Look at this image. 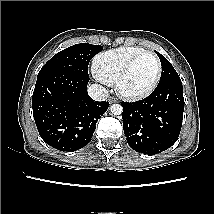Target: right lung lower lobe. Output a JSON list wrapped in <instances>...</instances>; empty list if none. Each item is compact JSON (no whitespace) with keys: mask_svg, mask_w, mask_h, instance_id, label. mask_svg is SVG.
I'll list each match as a JSON object with an SVG mask.
<instances>
[{"mask_svg":"<svg viewBox=\"0 0 214 214\" xmlns=\"http://www.w3.org/2000/svg\"><path fill=\"white\" fill-rule=\"evenodd\" d=\"M90 78L57 72L37 78L32 97L33 116L41 138L60 151L86 146L109 103L93 100Z\"/></svg>","mask_w":214,"mask_h":214,"instance_id":"right-lung-lower-lobe-1","label":"right lung lower lobe"}]
</instances>
